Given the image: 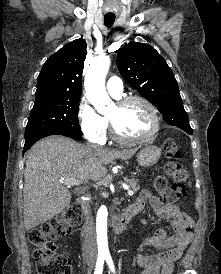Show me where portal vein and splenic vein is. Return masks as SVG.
<instances>
[{
	"label": "portal vein and splenic vein",
	"instance_id": "obj_1",
	"mask_svg": "<svg viewBox=\"0 0 221 274\" xmlns=\"http://www.w3.org/2000/svg\"><path fill=\"white\" fill-rule=\"evenodd\" d=\"M62 180L64 181V183H65L68 187L71 186V185H79V184H80V181H78V180H76V179H68V180L62 179ZM124 189L127 190L128 195L132 196V195L134 194V192H133L132 190H130L129 187H127V186L125 187V186H124Z\"/></svg>",
	"mask_w": 221,
	"mask_h": 274
}]
</instances>
